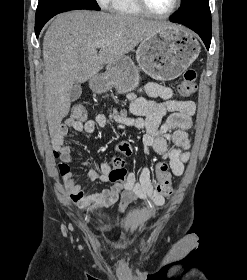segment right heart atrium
I'll use <instances>...</instances> for the list:
<instances>
[{
	"instance_id": "right-heart-atrium-1",
	"label": "right heart atrium",
	"mask_w": 247,
	"mask_h": 280,
	"mask_svg": "<svg viewBox=\"0 0 247 280\" xmlns=\"http://www.w3.org/2000/svg\"><path fill=\"white\" fill-rule=\"evenodd\" d=\"M96 1L100 6L106 7L108 6L110 0H96Z\"/></svg>"
}]
</instances>
